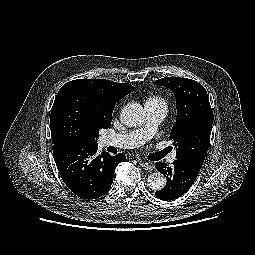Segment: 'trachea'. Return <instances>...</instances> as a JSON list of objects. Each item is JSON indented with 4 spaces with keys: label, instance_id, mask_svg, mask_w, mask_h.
Instances as JSON below:
<instances>
[{
    "label": "trachea",
    "instance_id": "3493384b",
    "mask_svg": "<svg viewBox=\"0 0 255 255\" xmlns=\"http://www.w3.org/2000/svg\"><path fill=\"white\" fill-rule=\"evenodd\" d=\"M164 156H165V152H161V153L152 154L150 156V158L152 160H159V159L163 158Z\"/></svg>",
    "mask_w": 255,
    "mask_h": 255
}]
</instances>
